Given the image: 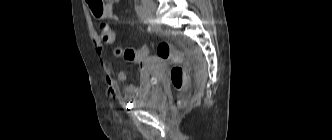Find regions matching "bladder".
<instances>
[{
	"instance_id": "bladder-1",
	"label": "bladder",
	"mask_w": 332,
	"mask_h": 140,
	"mask_svg": "<svg viewBox=\"0 0 332 140\" xmlns=\"http://www.w3.org/2000/svg\"><path fill=\"white\" fill-rule=\"evenodd\" d=\"M164 99V92L159 89H155L145 97L135 101V104L139 107L153 108L159 106Z\"/></svg>"
}]
</instances>
